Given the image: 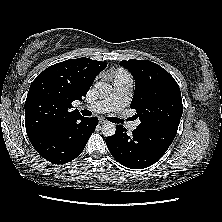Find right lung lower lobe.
<instances>
[{"instance_id":"right-lung-lower-lobe-1","label":"right lung lower lobe","mask_w":222,"mask_h":222,"mask_svg":"<svg viewBox=\"0 0 222 222\" xmlns=\"http://www.w3.org/2000/svg\"><path fill=\"white\" fill-rule=\"evenodd\" d=\"M98 124L96 117H81L54 124L29 137L35 150L47 161L63 164L75 159L84 149Z\"/></svg>"}]
</instances>
